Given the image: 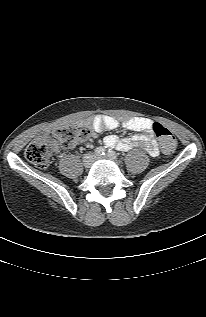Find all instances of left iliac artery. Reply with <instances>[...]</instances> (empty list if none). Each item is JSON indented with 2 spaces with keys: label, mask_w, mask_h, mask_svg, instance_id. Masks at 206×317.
Here are the masks:
<instances>
[{
  "label": "left iliac artery",
  "mask_w": 206,
  "mask_h": 317,
  "mask_svg": "<svg viewBox=\"0 0 206 317\" xmlns=\"http://www.w3.org/2000/svg\"><path fill=\"white\" fill-rule=\"evenodd\" d=\"M107 156H108L110 159H113V160L118 159L117 154H116L113 150H111V149L108 150Z\"/></svg>",
  "instance_id": "44dca946"
}]
</instances>
